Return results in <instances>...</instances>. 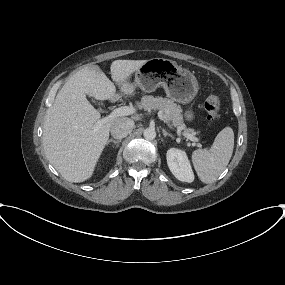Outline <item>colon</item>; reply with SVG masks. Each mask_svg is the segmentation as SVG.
Segmentation results:
<instances>
[{
	"label": "colon",
	"instance_id": "obj_1",
	"mask_svg": "<svg viewBox=\"0 0 285 285\" xmlns=\"http://www.w3.org/2000/svg\"><path fill=\"white\" fill-rule=\"evenodd\" d=\"M204 107L210 121H216L220 117V99L217 95H210L206 99Z\"/></svg>",
	"mask_w": 285,
	"mask_h": 285
}]
</instances>
